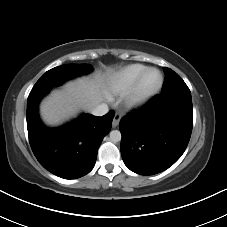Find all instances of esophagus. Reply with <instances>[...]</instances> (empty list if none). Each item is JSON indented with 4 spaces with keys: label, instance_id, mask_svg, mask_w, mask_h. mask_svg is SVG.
<instances>
[{
    "label": "esophagus",
    "instance_id": "esophagus-1",
    "mask_svg": "<svg viewBox=\"0 0 227 227\" xmlns=\"http://www.w3.org/2000/svg\"><path fill=\"white\" fill-rule=\"evenodd\" d=\"M120 119H121L120 114L116 113L115 116H114L113 122H112L113 128H115L119 125Z\"/></svg>",
    "mask_w": 227,
    "mask_h": 227
}]
</instances>
